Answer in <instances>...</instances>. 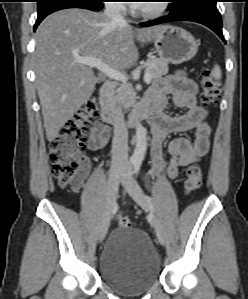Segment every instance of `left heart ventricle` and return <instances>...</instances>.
I'll return each mask as SVG.
<instances>
[{
  "label": "left heart ventricle",
  "instance_id": "b2bd125f",
  "mask_svg": "<svg viewBox=\"0 0 248 299\" xmlns=\"http://www.w3.org/2000/svg\"><path fill=\"white\" fill-rule=\"evenodd\" d=\"M155 2H149V3H147V4H145V6H149V5H152V4H154Z\"/></svg>",
  "mask_w": 248,
  "mask_h": 299
}]
</instances>
